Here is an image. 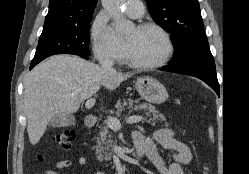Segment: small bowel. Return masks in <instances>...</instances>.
Returning a JSON list of instances; mask_svg holds the SVG:
<instances>
[{
    "mask_svg": "<svg viewBox=\"0 0 249 174\" xmlns=\"http://www.w3.org/2000/svg\"><path fill=\"white\" fill-rule=\"evenodd\" d=\"M134 143L145 145V156L155 169L156 174H185L184 167L192 163L193 155L191 149L183 142L177 139L174 131L167 128H161L154 132L153 139L145 137L136 131L133 134ZM155 143L164 149L171 151V161L166 164L159 154ZM77 163L81 166L88 164L85 156L77 158ZM74 165L72 160H60L56 163L57 170L48 169L44 174H61L58 170L70 168ZM94 174H105L102 171H96Z\"/></svg>",
    "mask_w": 249,
    "mask_h": 174,
    "instance_id": "1",
    "label": "small bowel"
}]
</instances>
